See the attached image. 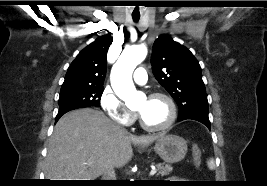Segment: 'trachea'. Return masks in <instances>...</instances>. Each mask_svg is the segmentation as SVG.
Listing matches in <instances>:
<instances>
[{
	"label": "trachea",
	"instance_id": "3493384b",
	"mask_svg": "<svg viewBox=\"0 0 267 186\" xmlns=\"http://www.w3.org/2000/svg\"><path fill=\"white\" fill-rule=\"evenodd\" d=\"M139 18H140V17H138V16H134V17H133L134 22H138Z\"/></svg>",
	"mask_w": 267,
	"mask_h": 186
}]
</instances>
